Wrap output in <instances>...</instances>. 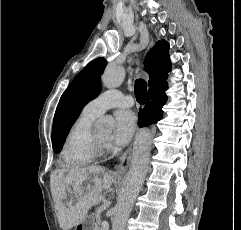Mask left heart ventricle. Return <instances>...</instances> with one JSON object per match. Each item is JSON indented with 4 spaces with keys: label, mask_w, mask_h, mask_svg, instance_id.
Listing matches in <instances>:
<instances>
[{
    "label": "left heart ventricle",
    "mask_w": 241,
    "mask_h": 230,
    "mask_svg": "<svg viewBox=\"0 0 241 230\" xmlns=\"http://www.w3.org/2000/svg\"><path fill=\"white\" fill-rule=\"evenodd\" d=\"M95 136L99 141H101L103 143H107L108 140L110 139L109 133L103 132V131H96Z\"/></svg>",
    "instance_id": "1"
}]
</instances>
